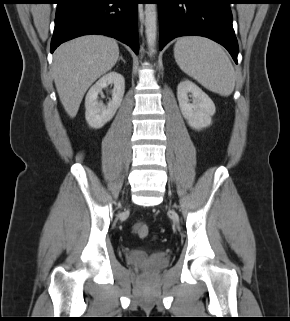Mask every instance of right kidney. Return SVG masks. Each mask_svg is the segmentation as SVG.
Listing matches in <instances>:
<instances>
[{"label":"right kidney","instance_id":"1","mask_svg":"<svg viewBox=\"0 0 290 321\" xmlns=\"http://www.w3.org/2000/svg\"><path fill=\"white\" fill-rule=\"evenodd\" d=\"M113 84L112 100L105 106L98 101V94L108 85ZM125 91L124 77L112 71L102 76L88 91L85 98V118L88 125L98 129L103 127L115 115L117 109L121 105Z\"/></svg>","mask_w":290,"mask_h":321}]
</instances>
